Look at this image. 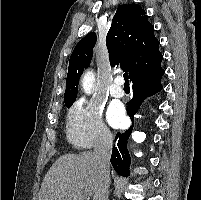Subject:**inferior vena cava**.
<instances>
[{
    "label": "inferior vena cava",
    "mask_w": 201,
    "mask_h": 200,
    "mask_svg": "<svg viewBox=\"0 0 201 200\" xmlns=\"http://www.w3.org/2000/svg\"><path fill=\"white\" fill-rule=\"evenodd\" d=\"M113 146V136L110 133L103 135L94 149V155L101 171V181L96 200H109L110 185V156Z\"/></svg>",
    "instance_id": "obj_1"
}]
</instances>
